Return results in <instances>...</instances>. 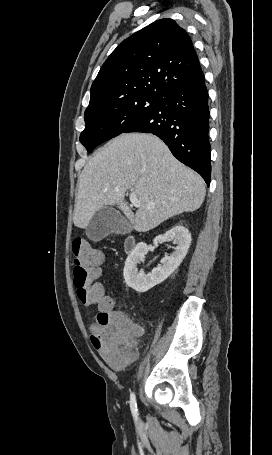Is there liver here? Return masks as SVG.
Wrapping results in <instances>:
<instances>
[{"instance_id": "liver-1", "label": "liver", "mask_w": 272, "mask_h": 455, "mask_svg": "<svg viewBox=\"0 0 272 455\" xmlns=\"http://www.w3.org/2000/svg\"><path fill=\"white\" fill-rule=\"evenodd\" d=\"M128 191L141 203L135 214L124 203ZM205 193L201 177L158 137L124 133L95 153L79 175L73 221L87 228L101 208L117 205L131 228L147 232L173 216L199 209Z\"/></svg>"}]
</instances>
